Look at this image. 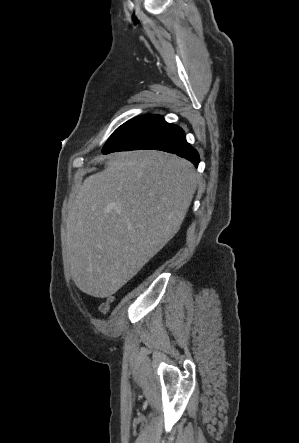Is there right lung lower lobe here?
I'll return each instance as SVG.
<instances>
[{
    "label": "right lung lower lobe",
    "instance_id": "98d812e1",
    "mask_svg": "<svg viewBox=\"0 0 299 443\" xmlns=\"http://www.w3.org/2000/svg\"><path fill=\"white\" fill-rule=\"evenodd\" d=\"M155 149L175 153L198 166L199 155L187 143L184 131L160 115L137 117L103 154L116 151Z\"/></svg>",
    "mask_w": 299,
    "mask_h": 443
}]
</instances>
